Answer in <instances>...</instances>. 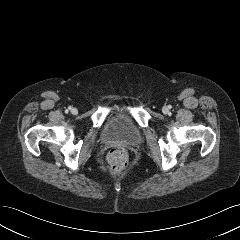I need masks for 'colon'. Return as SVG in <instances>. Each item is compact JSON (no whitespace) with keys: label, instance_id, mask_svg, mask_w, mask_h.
Instances as JSON below:
<instances>
[{"label":"colon","instance_id":"1","mask_svg":"<svg viewBox=\"0 0 240 240\" xmlns=\"http://www.w3.org/2000/svg\"><path fill=\"white\" fill-rule=\"evenodd\" d=\"M128 164V153L122 147H113L106 156V166L112 173L122 172Z\"/></svg>","mask_w":240,"mask_h":240}]
</instances>
